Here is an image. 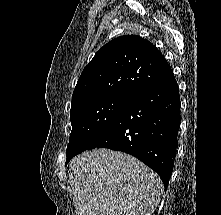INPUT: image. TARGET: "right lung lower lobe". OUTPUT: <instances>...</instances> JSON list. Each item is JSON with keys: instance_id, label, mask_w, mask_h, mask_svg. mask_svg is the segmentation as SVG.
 <instances>
[{"instance_id": "obj_1", "label": "right lung lower lobe", "mask_w": 221, "mask_h": 215, "mask_svg": "<svg viewBox=\"0 0 221 215\" xmlns=\"http://www.w3.org/2000/svg\"><path fill=\"white\" fill-rule=\"evenodd\" d=\"M179 122V87L171 70L135 94L89 149L109 148L135 156L158 173L166 189L176 156Z\"/></svg>"}]
</instances>
